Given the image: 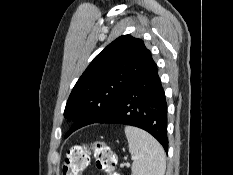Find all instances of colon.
Wrapping results in <instances>:
<instances>
[{
    "mask_svg": "<svg viewBox=\"0 0 233 175\" xmlns=\"http://www.w3.org/2000/svg\"><path fill=\"white\" fill-rule=\"evenodd\" d=\"M93 153L97 167L106 175H120L116 172L117 158L110 147L103 141L71 147L62 166V175H82Z\"/></svg>",
    "mask_w": 233,
    "mask_h": 175,
    "instance_id": "5ec220e1",
    "label": "colon"
}]
</instances>
